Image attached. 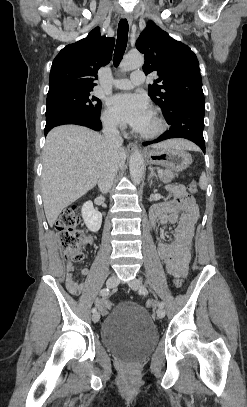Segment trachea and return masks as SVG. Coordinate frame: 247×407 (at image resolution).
Wrapping results in <instances>:
<instances>
[{
	"instance_id": "trachea-1",
	"label": "trachea",
	"mask_w": 247,
	"mask_h": 407,
	"mask_svg": "<svg viewBox=\"0 0 247 407\" xmlns=\"http://www.w3.org/2000/svg\"><path fill=\"white\" fill-rule=\"evenodd\" d=\"M128 29V21L126 19H121L118 24L117 42L114 50L113 63L115 66L120 63L125 52L128 41Z\"/></svg>"
}]
</instances>
